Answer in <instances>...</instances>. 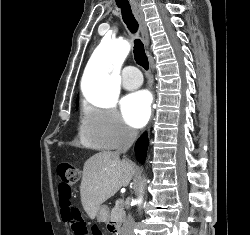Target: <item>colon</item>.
Masks as SVG:
<instances>
[{"mask_svg":"<svg viewBox=\"0 0 250 235\" xmlns=\"http://www.w3.org/2000/svg\"><path fill=\"white\" fill-rule=\"evenodd\" d=\"M59 177L58 197L62 207L63 220L68 223L75 235H86V226L77 208L71 206V189L79 179L78 168L70 162H61L57 166Z\"/></svg>","mask_w":250,"mask_h":235,"instance_id":"5ec220e1","label":"colon"}]
</instances>
